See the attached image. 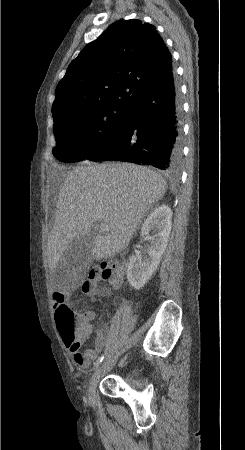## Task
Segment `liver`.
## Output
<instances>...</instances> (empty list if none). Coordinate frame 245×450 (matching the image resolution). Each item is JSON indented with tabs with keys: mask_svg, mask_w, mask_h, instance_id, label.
Instances as JSON below:
<instances>
[{
	"mask_svg": "<svg viewBox=\"0 0 245 450\" xmlns=\"http://www.w3.org/2000/svg\"><path fill=\"white\" fill-rule=\"evenodd\" d=\"M167 189L161 174L132 163L81 165L69 171L58 194L47 256L54 270L77 236H91L96 223L110 233L92 236L93 258H111L126 249L149 209Z\"/></svg>",
	"mask_w": 245,
	"mask_h": 450,
	"instance_id": "liver-1",
	"label": "liver"
}]
</instances>
